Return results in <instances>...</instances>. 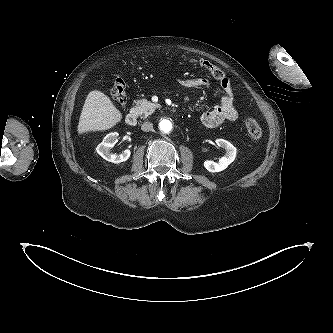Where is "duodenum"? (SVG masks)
Segmentation results:
<instances>
[{
  "instance_id": "1",
  "label": "duodenum",
  "mask_w": 333,
  "mask_h": 333,
  "mask_svg": "<svg viewBox=\"0 0 333 333\" xmlns=\"http://www.w3.org/2000/svg\"><path fill=\"white\" fill-rule=\"evenodd\" d=\"M125 121H126L127 125H129V126H134V125H136V123H137V113H136V111L131 110V111L127 114V116H126V118H125Z\"/></svg>"
}]
</instances>
